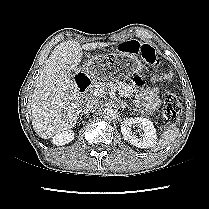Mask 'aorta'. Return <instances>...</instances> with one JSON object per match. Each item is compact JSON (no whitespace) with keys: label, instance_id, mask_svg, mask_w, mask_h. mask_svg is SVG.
I'll list each match as a JSON object with an SVG mask.
<instances>
[{"label":"aorta","instance_id":"aorta-1","mask_svg":"<svg viewBox=\"0 0 209 209\" xmlns=\"http://www.w3.org/2000/svg\"><path fill=\"white\" fill-rule=\"evenodd\" d=\"M102 115L106 120H114L118 116V111L115 107L107 106L104 108Z\"/></svg>","mask_w":209,"mask_h":209}]
</instances>
